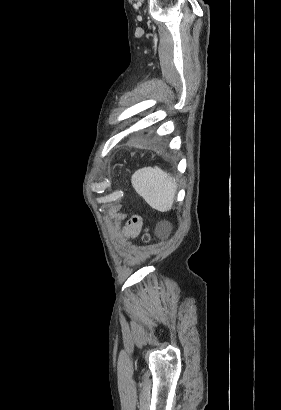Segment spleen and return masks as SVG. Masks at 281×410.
I'll use <instances>...</instances> for the list:
<instances>
[{
  "label": "spleen",
  "instance_id": "1",
  "mask_svg": "<svg viewBox=\"0 0 281 410\" xmlns=\"http://www.w3.org/2000/svg\"><path fill=\"white\" fill-rule=\"evenodd\" d=\"M135 191L149 204L160 212L169 211L177 191L176 180L159 167H144L137 170L131 177Z\"/></svg>",
  "mask_w": 281,
  "mask_h": 410
}]
</instances>
